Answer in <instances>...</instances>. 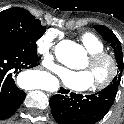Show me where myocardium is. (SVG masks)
I'll list each match as a JSON object with an SVG mask.
<instances>
[{"label": "myocardium", "mask_w": 124, "mask_h": 124, "mask_svg": "<svg viewBox=\"0 0 124 124\" xmlns=\"http://www.w3.org/2000/svg\"><path fill=\"white\" fill-rule=\"evenodd\" d=\"M88 59L91 65H96L99 63H107L109 65V72L107 75L100 81L94 83L93 89L97 91H101L106 89L115 79L118 73V64L113 55L106 51H97L90 52Z\"/></svg>", "instance_id": "obj_1"}]
</instances>
